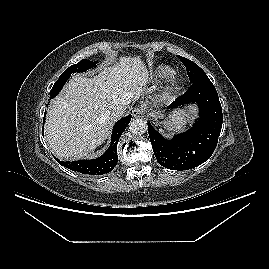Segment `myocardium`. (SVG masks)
<instances>
[{
    "label": "myocardium",
    "mask_w": 269,
    "mask_h": 269,
    "mask_svg": "<svg viewBox=\"0 0 269 269\" xmlns=\"http://www.w3.org/2000/svg\"><path fill=\"white\" fill-rule=\"evenodd\" d=\"M181 83V78L178 75H174L168 81L167 88L164 92V98H169L179 87Z\"/></svg>",
    "instance_id": "f54148a6"
}]
</instances>
